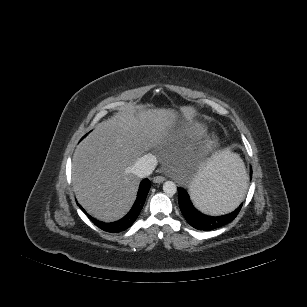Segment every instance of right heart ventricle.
I'll use <instances>...</instances> for the list:
<instances>
[{"label":"right heart ventricle","mask_w":307,"mask_h":307,"mask_svg":"<svg viewBox=\"0 0 307 307\" xmlns=\"http://www.w3.org/2000/svg\"><path fill=\"white\" fill-rule=\"evenodd\" d=\"M194 129H197V128H199V126L198 125H194V126H192Z\"/></svg>","instance_id":"obj_1"}]
</instances>
